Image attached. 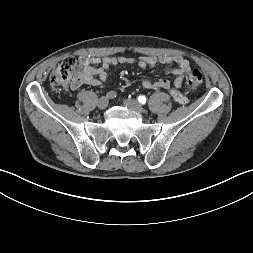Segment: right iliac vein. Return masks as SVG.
<instances>
[{"label":"right iliac vein","instance_id":"right-iliac-vein-1","mask_svg":"<svg viewBox=\"0 0 253 253\" xmlns=\"http://www.w3.org/2000/svg\"><path fill=\"white\" fill-rule=\"evenodd\" d=\"M108 99L106 97H101L98 100L97 106L100 110H104L108 106Z\"/></svg>","mask_w":253,"mask_h":253}]
</instances>
